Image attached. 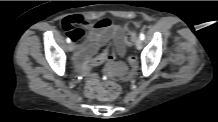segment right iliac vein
<instances>
[{"label": "right iliac vein", "mask_w": 218, "mask_h": 122, "mask_svg": "<svg viewBox=\"0 0 218 122\" xmlns=\"http://www.w3.org/2000/svg\"><path fill=\"white\" fill-rule=\"evenodd\" d=\"M67 49H68L69 52H72L74 50V44L69 43V45L67 46Z\"/></svg>", "instance_id": "right-iliac-vein-1"}]
</instances>
